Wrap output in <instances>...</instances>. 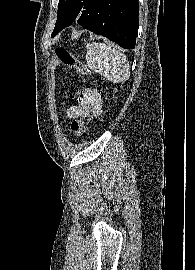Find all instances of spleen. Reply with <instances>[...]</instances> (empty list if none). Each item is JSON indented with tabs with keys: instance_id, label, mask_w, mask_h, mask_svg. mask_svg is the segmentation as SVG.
Returning <instances> with one entry per match:
<instances>
[{
	"instance_id": "spleen-1",
	"label": "spleen",
	"mask_w": 195,
	"mask_h": 270,
	"mask_svg": "<svg viewBox=\"0 0 195 270\" xmlns=\"http://www.w3.org/2000/svg\"><path fill=\"white\" fill-rule=\"evenodd\" d=\"M87 66L113 83L125 82L130 77V64L127 57L116 47L104 43H88Z\"/></svg>"
}]
</instances>
